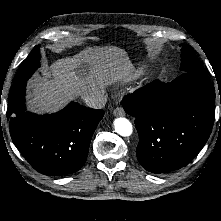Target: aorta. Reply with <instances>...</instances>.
Here are the masks:
<instances>
[{
  "mask_svg": "<svg viewBox=\"0 0 221 221\" xmlns=\"http://www.w3.org/2000/svg\"><path fill=\"white\" fill-rule=\"evenodd\" d=\"M113 124L115 132H117L119 135L128 137L132 134L133 127L128 119L119 117L114 120Z\"/></svg>",
  "mask_w": 221,
  "mask_h": 221,
  "instance_id": "1",
  "label": "aorta"
}]
</instances>
